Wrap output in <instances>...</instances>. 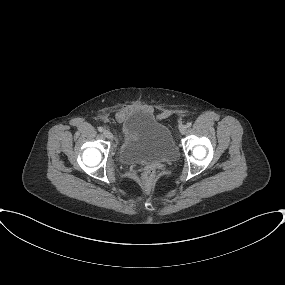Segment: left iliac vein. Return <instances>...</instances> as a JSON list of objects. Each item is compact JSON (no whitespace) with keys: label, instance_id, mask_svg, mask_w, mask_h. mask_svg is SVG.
<instances>
[{"label":"left iliac vein","instance_id":"1","mask_svg":"<svg viewBox=\"0 0 285 285\" xmlns=\"http://www.w3.org/2000/svg\"><path fill=\"white\" fill-rule=\"evenodd\" d=\"M179 131H180L181 134L186 133V131H187V126H186V125H181V126L179 127Z\"/></svg>","mask_w":285,"mask_h":285}]
</instances>
